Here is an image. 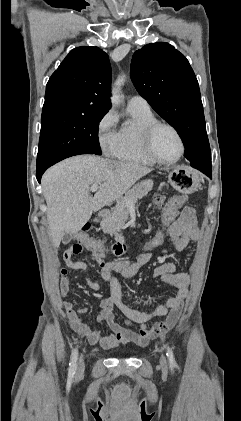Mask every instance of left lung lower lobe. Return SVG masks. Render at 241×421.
Instances as JSON below:
<instances>
[{"label": "left lung lower lobe", "mask_w": 241, "mask_h": 421, "mask_svg": "<svg viewBox=\"0 0 241 421\" xmlns=\"http://www.w3.org/2000/svg\"><path fill=\"white\" fill-rule=\"evenodd\" d=\"M191 166L201 170L203 173H205L206 175H208L209 177H211V164H205V163H194L191 162Z\"/></svg>", "instance_id": "obj_1"}]
</instances>
